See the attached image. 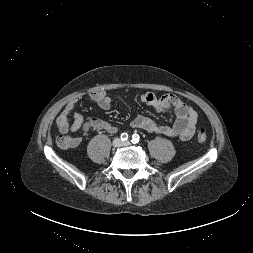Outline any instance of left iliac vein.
Wrapping results in <instances>:
<instances>
[{
	"label": "left iliac vein",
	"mask_w": 253,
	"mask_h": 253,
	"mask_svg": "<svg viewBox=\"0 0 253 253\" xmlns=\"http://www.w3.org/2000/svg\"><path fill=\"white\" fill-rule=\"evenodd\" d=\"M128 145H130L129 141L122 142V146H128Z\"/></svg>",
	"instance_id": "1"
}]
</instances>
